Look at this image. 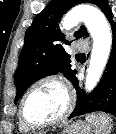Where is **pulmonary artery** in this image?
<instances>
[{"mask_svg": "<svg viewBox=\"0 0 116 134\" xmlns=\"http://www.w3.org/2000/svg\"><path fill=\"white\" fill-rule=\"evenodd\" d=\"M88 49V44L85 41H79L74 44L73 50L74 52H83Z\"/></svg>", "mask_w": 116, "mask_h": 134, "instance_id": "1", "label": "pulmonary artery"}]
</instances>
